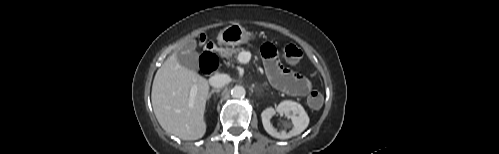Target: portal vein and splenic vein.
<instances>
[{
	"label": "portal vein and splenic vein",
	"mask_w": 499,
	"mask_h": 154,
	"mask_svg": "<svg viewBox=\"0 0 499 154\" xmlns=\"http://www.w3.org/2000/svg\"><path fill=\"white\" fill-rule=\"evenodd\" d=\"M250 58H251V54L249 52L243 51V52L239 53V55L237 57V60H238L239 63L246 64V63L249 62ZM196 92H197V88L195 86H193L191 88V91H190V104L191 105L193 103V99H194V97L196 95Z\"/></svg>",
	"instance_id": "portal-vein-and-splenic-vein-1"
}]
</instances>
